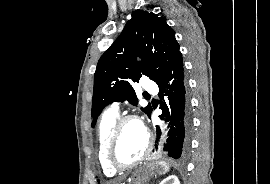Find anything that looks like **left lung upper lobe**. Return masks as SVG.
Segmentation results:
<instances>
[{"label":"left lung upper lobe","mask_w":270,"mask_h":184,"mask_svg":"<svg viewBox=\"0 0 270 184\" xmlns=\"http://www.w3.org/2000/svg\"><path fill=\"white\" fill-rule=\"evenodd\" d=\"M178 52L175 32L164 17L142 10L134 12L97 64L92 126L103 108L114 101L127 100L136 105L138 100L132 82H138L144 75L157 82ZM137 56L142 58L141 62L136 61ZM142 111L150 117L152 107L148 105Z\"/></svg>","instance_id":"obj_1"}]
</instances>
